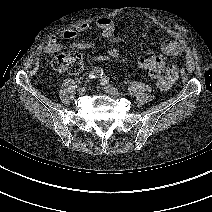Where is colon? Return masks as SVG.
<instances>
[{
	"instance_id": "obj_1",
	"label": "colon",
	"mask_w": 212,
	"mask_h": 212,
	"mask_svg": "<svg viewBox=\"0 0 212 212\" xmlns=\"http://www.w3.org/2000/svg\"><path fill=\"white\" fill-rule=\"evenodd\" d=\"M48 64L51 69L57 72L69 73L72 75L81 73L84 66L83 57L79 52L57 54L49 60ZM148 74L159 82L164 79L162 68L157 66L149 67Z\"/></svg>"
}]
</instances>
